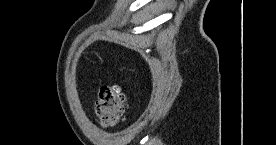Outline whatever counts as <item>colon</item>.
Returning a JSON list of instances; mask_svg holds the SVG:
<instances>
[{
	"label": "colon",
	"instance_id": "5ec220e1",
	"mask_svg": "<svg viewBox=\"0 0 276 145\" xmlns=\"http://www.w3.org/2000/svg\"><path fill=\"white\" fill-rule=\"evenodd\" d=\"M127 98L117 85H104L97 94L95 109L100 120L109 126L117 125L123 118Z\"/></svg>",
	"mask_w": 276,
	"mask_h": 145
}]
</instances>
